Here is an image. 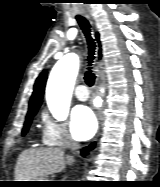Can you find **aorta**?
<instances>
[{"label": "aorta", "mask_w": 160, "mask_h": 187, "mask_svg": "<svg viewBox=\"0 0 160 187\" xmlns=\"http://www.w3.org/2000/svg\"><path fill=\"white\" fill-rule=\"evenodd\" d=\"M78 70V56L67 54L55 64L50 73L46 88V101L49 110L58 119L64 118L69 111ZM101 103L102 99L97 97L95 105L100 106Z\"/></svg>", "instance_id": "762f6f07"}]
</instances>
